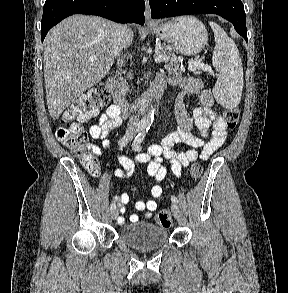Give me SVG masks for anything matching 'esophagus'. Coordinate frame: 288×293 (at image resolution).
<instances>
[{
	"instance_id": "esophagus-1",
	"label": "esophagus",
	"mask_w": 288,
	"mask_h": 293,
	"mask_svg": "<svg viewBox=\"0 0 288 293\" xmlns=\"http://www.w3.org/2000/svg\"><path fill=\"white\" fill-rule=\"evenodd\" d=\"M145 23L147 25L154 24V20L151 17V9H150L148 0H146V5H145Z\"/></svg>"
}]
</instances>
